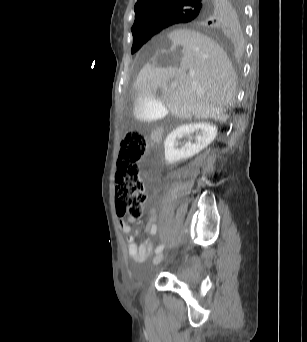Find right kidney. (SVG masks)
<instances>
[{"instance_id":"obj_1","label":"right kidney","mask_w":307,"mask_h":342,"mask_svg":"<svg viewBox=\"0 0 307 342\" xmlns=\"http://www.w3.org/2000/svg\"><path fill=\"white\" fill-rule=\"evenodd\" d=\"M196 130H200L201 136H197L195 144L187 142L183 148H177V138H183L184 134H192ZM216 136L217 128L211 122H198V124H184V126H179L171 134H168L164 142L165 160L167 164H175V162H180V160L192 158V156L207 148L208 144H211Z\"/></svg>"}]
</instances>
